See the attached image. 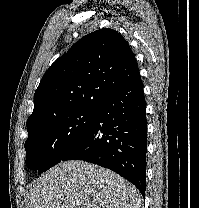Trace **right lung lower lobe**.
Listing matches in <instances>:
<instances>
[{
  "label": "right lung lower lobe",
  "instance_id": "1",
  "mask_svg": "<svg viewBox=\"0 0 199 208\" xmlns=\"http://www.w3.org/2000/svg\"><path fill=\"white\" fill-rule=\"evenodd\" d=\"M141 77L95 106L86 134L62 161L84 160L111 169L145 196L147 121Z\"/></svg>",
  "mask_w": 199,
  "mask_h": 208
}]
</instances>
